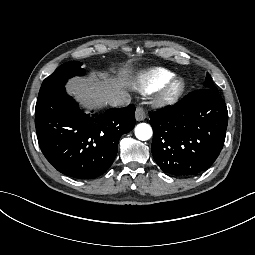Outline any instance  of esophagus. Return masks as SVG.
I'll return each mask as SVG.
<instances>
[{
  "label": "esophagus",
  "mask_w": 255,
  "mask_h": 255,
  "mask_svg": "<svg viewBox=\"0 0 255 255\" xmlns=\"http://www.w3.org/2000/svg\"><path fill=\"white\" fill-rule=\"evenodd\" d=\"M135 117L137 121H142L146 118V110L143 106H138L135 111Z\"/></svg>",
  "instance_id": "esophagus-1"
}]
</instances>
